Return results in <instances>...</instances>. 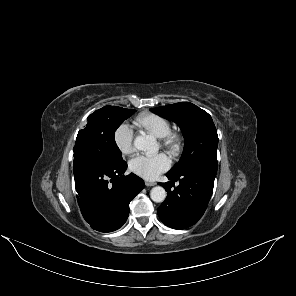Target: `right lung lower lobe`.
Returning <instances> with one entry per match:
<instances>
[{"mask_svg": "<svg viewBox=\"0 0 296 296\" xmlns=\"http://www.w3.org/2000/svg\"><path fill=\"white\" fill-rule=\"evenodd\" d=\"M73 162L77 200L86 222L100 232L119 229L144 181L133 173L124 176L125 161L115 162L86 142H75Z\"/></svg>", "mask_w": 296, "mask_h": 296, "instance_id": "right-lung-lower-lobe-1", "label": "right lung lower lobe"}]
</instances>
